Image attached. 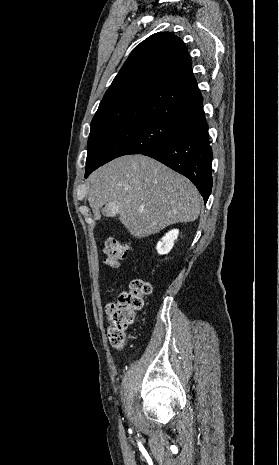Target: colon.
Wrapping results in <instances>:
<instances>
[{"label": "colon", "instance_id": "1", "mask_svg": "<svg viewBox=\"0 0 279 465\" xmlns=\"http://www.w3.org/2000/svg\"><path fill=\"white\" fill-rule=\"evenodd\" d=\"M128 246L116 238H108L105 242V263L110 268H117L126 258ZM151 286L143 279H133L126 291H123L118 300L106 307V317L109 323L108 338L115 349L121 350L127 343V332L134 324L136 315L142 309L145 297L150 294Z\"/></svg>", "mask_w": 279, "mask_h": 465}]
</instances>
